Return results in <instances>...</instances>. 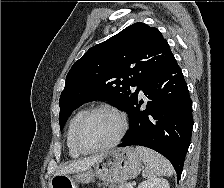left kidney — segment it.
I'll return each instance as SVG.
<instances>
[{
	"label": "left kidney",
	"instance_id": "left-kidney-1",
	"mask_svg": "<svg viewBox=\"0 0 224 188\" xmlns=\"http://www.w3.org/2000/svg\"><path fill=\"white\" fill-rule=\"evenodd\" d=\"M138 188H170V185L166 179L150 178L143 181Z\"/></svg>",
	"mask_w": 224,
	"mask_h": 188
}]
</instances>
